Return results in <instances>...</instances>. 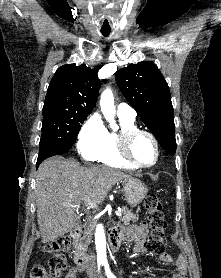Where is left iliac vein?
I'll return each instance as SVG.
<instances>
[{
    "label": "left iliac vein",
    "instance_id": "1",
    "mask_svg": "<svg viewBox=\"0 0 221 278\" xmlns=\"http://www.w3.org/2000/svg\"><path fill=\"white\" fill-rule=\"evenodd\" d=\"M99 278H104L103 276H100Z\"/></svg>",
    "mask_w": 221,
    "mask_h": 278
}]
</instances>
